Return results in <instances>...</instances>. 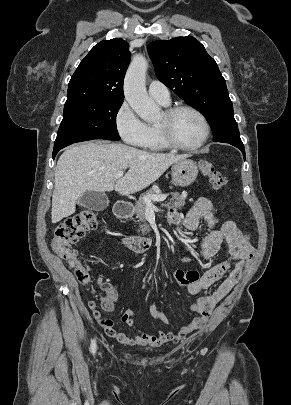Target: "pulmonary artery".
Instances as JSON below:
<instances>
[{
  "label": "pulmonary artery",
  "instance_id": "1",
  "mask_svg": "<svg viewBox=\"0 0 291 405\" xmlns=\"http://www.w3.org/2000/svg\"><path fill=\"white\" fill-rule=\"evenodd\" d=\"M149 95L161 104L170 103V93L168 88L160 81L153 80L148 86Z\"/></svg>",
  "mask_w": 291,
  "mask_h": 405
}]
</instances>
